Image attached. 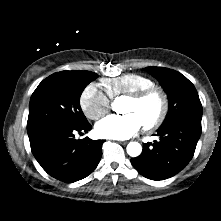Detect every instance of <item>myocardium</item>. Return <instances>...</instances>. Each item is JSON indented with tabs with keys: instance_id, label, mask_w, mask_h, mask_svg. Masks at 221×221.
<instances>
[{
	"instance_id": "f54148a6",
	"label": "myocardium",
	"mask_w": 221,
	"mask_h": 221,
	"mask_svg": "<svg viewBox=\"0 0 221 221\" xmlns=\"http://www.w3.org/2000/svg\"><path fill=\"white\" fill-rule=\"evenodd\" d=\"M156 96L160 101V109L154 119L143 124L144 129L152 130L163 124L169 111V100L163 89L155 85L143 90L128 94L126 99L134 102H143L150 97Z\"/></svg>"
}]
</instances>
